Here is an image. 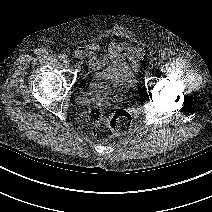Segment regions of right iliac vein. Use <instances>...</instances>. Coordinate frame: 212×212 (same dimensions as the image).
<instances>
[{"mask_svg":"<svg viewBox=\"0 0 212 212\" xmlns=\"http://www.w3.org/2000/svg\"><path fill=\"white\" fill-rule=\"evenodd\" d=\"M63 63H64V65H65L66 67H69V65H70V61H69L68 59H65V60L63 61Z\"/></svg>","mask_w":212,"mask_h":212,"instance_id":"obj_1","label":"right iliac vein"}]
</instances>
